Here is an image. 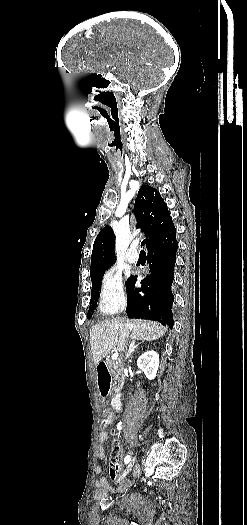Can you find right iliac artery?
<instances>
[{
    "label": "right iliac artery",
    "instance_id": "right-iliac-artery-1",
    "mask_svg": "<svg viewBox=\"0 0 247 525\" xmlns=\"http://www.w3.org/2000/svg\"><path fill=\"white\" fill-rule=\"evenodd\" d=\"M130 460H131L130 456L127 455V456L125 457V459H124L125 464H128V463L130 462Z\"/></svg>",
    "mask_w": 247,
    "mask_h": 525
}]
</instances>
